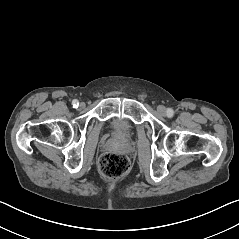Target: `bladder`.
Returning a JSON list of instances; mask_svg holds the SVG:
<instances>
[{"label":"bladder","instance_id":"obj_1","mask_svg":"<svg viewBox=\"0 0 239 239\" xmlns=\"http://www.w3.org/2000/svg\"><path fill=\"white\" fill-rule=\"evenodd\" d=\"M111 128L114 136L121 140H127L132 135L130 123L124 119L116 118L111 122Z\"/></svg>","mask_w":239,"mask_h":239}]
</instances>
